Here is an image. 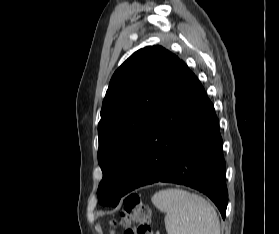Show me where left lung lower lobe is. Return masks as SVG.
I'll list each match as a JSON object with an SVG mask.
<instances>
[{
  "instance_id": "1",
  "label": "left lung lower lobe",
  "mask_w": 279,
  "mask_h": 234,
  "mask_svg": "<svg viewBox=\"0 0 279 234\" xmlns=\"http://www.w3.org/2000/svg\"><path fill=\"white\" fill-rule=\"evenodd\" d=\"M225 165L214 106L181 61L153 115L122 196L159 181L182 184L206 194L224 219Z\"/></svg>"
}]
</instances>
